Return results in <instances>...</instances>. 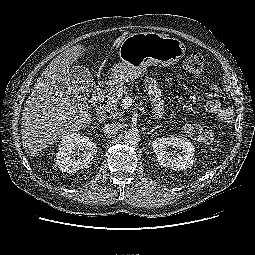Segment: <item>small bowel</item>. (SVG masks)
Returning <instances> with one entry per match:
<instances>
[{
    "mask_svg": "<svg viewBox=\"0 0 255 255\" xmlns=\"http://www.w3.org/2000/svg\"><path fill=\"white\" fill-rule=\"evenodd\" d=\"M206 85L213 91H217L218 87L211 81H206ZM146 89L147 92L149 94L150 100H151V104H152V108L154 111V114L156 116H161L163 113V100L161 97V92L158 86V83L154 80V79H148L146 81ZM212 101H209L207 104V108L211 111H215V110H219L220 109V105L219 103L216 104L214 107L210 106V103Z\"/></svg>",
    "mask_w": 255,
    "mask_h": 255,
    "instance_id": "obj_1",
    "label": "small bowel"
}]
</instances>
